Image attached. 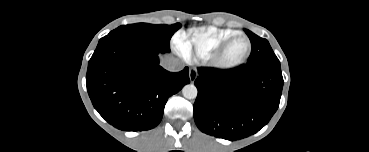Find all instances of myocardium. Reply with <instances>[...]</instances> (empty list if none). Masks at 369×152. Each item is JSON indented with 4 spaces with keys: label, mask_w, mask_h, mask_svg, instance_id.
<instances>
[{
    "label": "myocardium",
    "mask_w": 369,
    "mask_h": 152,
    "mask_svg": "<svg viewBox=\"0 0 369 152\" xmlns=\"http://www.w3.org/2000/svg\"><path fill=\"white\" fill-rule=\"evenodd\" d=\"M237 39H245L248 44V48L244 56L236 61L233 62H227L224 59L225 53L230 47V45ZM252 52V42L250 38L242 33L235 34L229 38H227L225 41H223L210 55V57L207 59L209 64L213 66L214 68H217L219 70H233L240 66H242L244 63L247 62L248 58L250 57Z\"/></svg>",
    "instance_id": "1"
}]
</instances>
